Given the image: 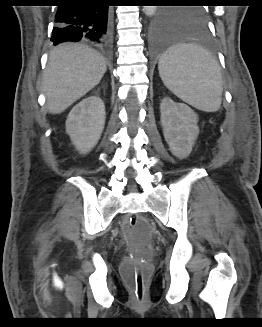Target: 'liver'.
<instances>
[{
	"instance_id": "1",
	"label": "liver",
	"mask_w": 262,
	"mask_h": 327,
	"mask_svg": "<svg viewBox=\"0 0 262 327\" xmlns=\"http://www.w3.org/2000/svg\"><path fill=\"white\" fill-rule=\"evenodd\" d=\"M106 71L105 59L85 45L66 43L55 47L43 76L49 112H63L98 85Z\"/></svg>"
}]
</instances>
